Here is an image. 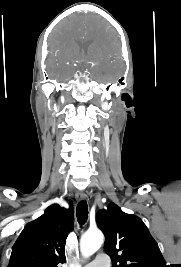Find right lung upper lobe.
Instances as JSON below:
<instances>
[{
  "label": "right lung upper lobe",
  "mask_w": 181,
  "mask_h": 267,
  "mask_svg": "<svg viewBox=\"0 0 181 267\" xmlns=\"http://www.w3.org/2000/svg\"><path fill=\"white\" fill-rule=\"evenodd\" d=\"M73 227L72 207L49 206L25 226L12 248L8 267H57L66 261L65 241Z\"/></svg>",
  "instance_id": "1"
}]
</instances>
